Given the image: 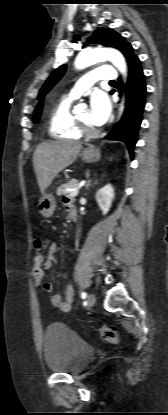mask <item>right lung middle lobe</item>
I'll return each instance as SVG.
<instances>
[{
    "mask_svg": "<svg viewBox=\"0 0 168 415\" xmlns=\"http://www.w3.org/2000/svg\"><path fill=\"white\" fill-rule=\"evenodd\" d=\"M41 112L34 113V123H38L40 119Z\"/></svg>",
    "mask_w": 168,
    "mask_h": 415,
    "instance_id": "dd1d6c3e",
    "label": "right lung middle lobe"
}]
</instances>
